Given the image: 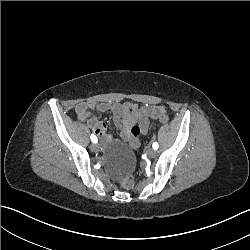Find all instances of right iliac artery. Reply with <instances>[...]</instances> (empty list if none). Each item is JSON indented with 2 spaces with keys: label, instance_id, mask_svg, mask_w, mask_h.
<instances>
[{
  "label": "right iliac artery",
  "instance_id": "82829eb1",
  "mask_svg": "<svg viewBox=\"0 0 250 250\" xmlns=\"http://www.w3.org/2000/svg\"><path fill=\"white\" fill-rule=\"evenodd\" d=\"M90 138L93 143H97L98 139L94 134H92Z\"/></svg>",
  "mask_w": 250,
  "mask_h": 250
}]
</instances>
